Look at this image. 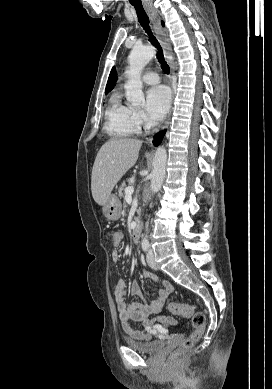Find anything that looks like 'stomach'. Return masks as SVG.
<instances>
[{
  "mask_svg": "<svg viewBox=\"0 0 272 389\" xmlns=\"http://www.w3.org/2000/svg\"><path fill=\"white\" fill-rule=\"evenodd\" d=\"M122 205L116 195H111L102 207V212L108 220H118L121 217Z\"/></svg>",
  "mask_w": 272,
  "mask_h": 389,
  "instance_id": "0dacf381",
  "label": "stomach"
}]
</instances>
